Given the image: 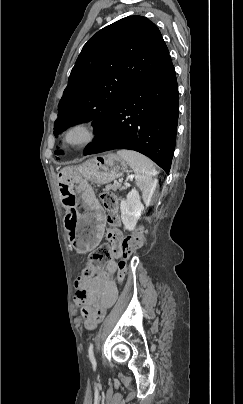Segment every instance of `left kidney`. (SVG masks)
<instances>
[{"label": "left kidney", "mask_w": 243, "mask_h": 404, "mask_svg": "<svg viewBox=\"0 0 243 404\" xmlns=\"http://www.w3.org/2000/svg\"><path fill=\"white\" fill-rule=\"evenodd\" d=\"M120 210L125 230L132 232V230H135L136 224L144 210L137 190H131L127 194L126 200H121Z\"/></svg>", "instance_id": "5707ae66"}]
</instances>
